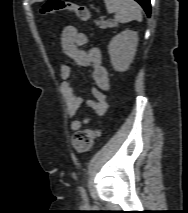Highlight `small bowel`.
<instances>
[{"mask_svg": "<svg viewBox=\"0 0 188 213\" xmlns=\"http://www.w3.org/2000/svg\"><path fill=\"white\" fill-rule=\"evenodd\" d=\"M89 42L88 35L74 26H66L61 34L63 52L78 65L88 67L92 72L94 87L92 88L93 100L87 102L97 116H103L108 109L107 92L110 88V77L107 69L102 65V54L97 48L85 50L83 47ZM60 77L63 80L62 92L65 98L67 115L73 118L84 100L77 95L68 80L72 77V67L63 64L60 68ZM91 122V117L72 120L70 128L77 131Z\"/></svg>", "mask_w": 188, "mask_h": 213, "instance_id": "obj_1", "label": "small bowel"}]
</instances>
